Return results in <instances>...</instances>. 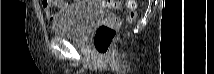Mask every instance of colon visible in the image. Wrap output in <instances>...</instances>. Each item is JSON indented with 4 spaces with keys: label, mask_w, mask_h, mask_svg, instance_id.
<instances>
[{
    "label": "colon",
    "mask_w": 214,
    "mask_h": 74,
    "mask_svg": "<svg viewBox=\"0 0 214 74\" xmlns=\"http://www.w3.org/2000/svg\"><path fill=\"white\" fill-rule=\"evenodd\" d=\"M102 4L110 10H116L120 6V2L118 1H103ZM127 6L129 8V13L127 14V21L132 22L137 17V6L138 1L136 0H128ZM120 26V20L115 19L106 23L101 24L95 31L93 37V44L96 50L102 54L107 55L112 41L116 35V31Z\"/></svg>",
    "instance_id": "colon-1"
}]
</instances>
